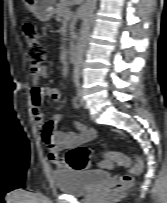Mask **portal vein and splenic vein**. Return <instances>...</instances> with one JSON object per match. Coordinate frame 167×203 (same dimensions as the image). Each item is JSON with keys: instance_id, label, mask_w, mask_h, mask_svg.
Instances as JSON below:
<instances>
[{"instance_id": "1", "label": "portal vein and splenic vein", "mask_w": 167, "mask_h": 203, "mask_svg": "<svg viewBox=\"0 0 167 203\" xmlns=\"http://www.w3.org/2000/svg\"><path fill=\"white\" fill-rule=\"evenodd\" d=\"M72 15V12L68 9L65 18L69 19Z\"/></svg>"}]
</instances>
